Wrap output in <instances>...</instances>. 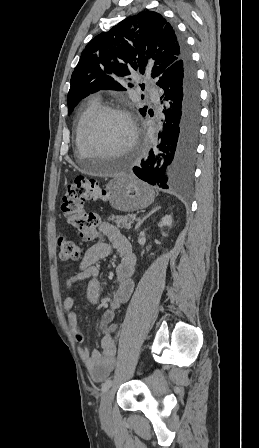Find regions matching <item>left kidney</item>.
I'll use <instances>...</instances> for the list:
<instances>
[{
	"label": "left kidney",
	"mask_w": 259,
	"mask_h": 448,
	"mask_svg": "<svg viewBox=\"0 0 259 448\" xmlns=\"http://www.w3.org/2000/svg\"><path fill=\"white\" fill-rule=\"evenodd\" d=\"M172 224V216H164V218H162V222H159L158 226L159 228H162V226H171ZM163 236H167V234H165V232H162Z\"/></svg>",
	"instance_id": "left-kidney-1"
}]
</instances>
